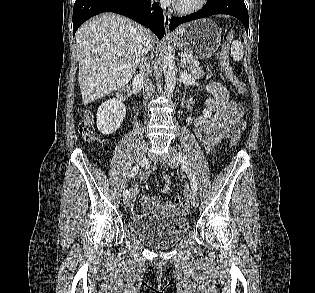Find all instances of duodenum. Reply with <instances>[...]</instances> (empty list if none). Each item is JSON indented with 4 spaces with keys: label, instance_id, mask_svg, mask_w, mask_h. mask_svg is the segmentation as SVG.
<instances>
[{
    "label": "duodenum",
    "instance_id": "410a0bca",
    "mask_svg": "<svg viewBox=\"0 0 315 293\" xmlns=\"http://www.w3.org/2000/svg\"><path fill=\"white\" fill-rule=\"evenodd\" d=\"M128 95V89H122L118 92L117 94V97L120 99V100H125L126 97Z\"/></svg>",
    "mask_w": 315,
    "mask_h": 293
}]
</instances>
